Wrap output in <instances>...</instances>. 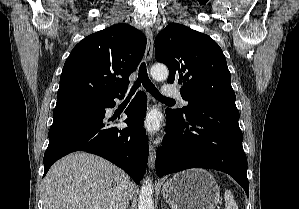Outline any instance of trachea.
<instances>
[{
    "mask_svg": "<svg viewBox=\"0 0 299 209\" xmlns=\"http://www.w3.org/2000/svg\"><path fill=\"white\" fill-rule=\"evenodd\" d=\"M141 84L156 99H158L160 101H173L174 102L173 99L166 98V97L162 96L159 93V91L155 88V86L153 85V83L151 82V80L149 79V77L147 75V69H146V64L145 63H142L139 67L138 79L136 80V82L132 86V89L129 93V96L133 95L135 93L136 89Z\"/></svg>",
    "mask_w": 299,
    "mask_h": 209,
    "instance_id": "trachea-1",
    "label": "trachea"
}]
</instances>
